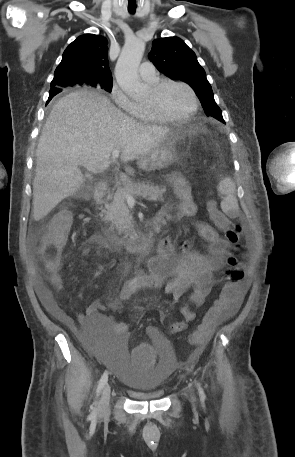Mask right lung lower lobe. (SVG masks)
<instances>
[{"mask_svg":"<svg viewBox=\"0 0 295 457\" xmlns=\"http://www.w3.org/2000/svg\"><path fill=\"white\" fill-rule=\"evenodd\" d=\"M59 92H61V89H50L48 102Z\"/></svg>","mask_w":295,"mask_h":457,"instance_id":"obj_1","label":"right lung lower lobe"}]
</instances>
